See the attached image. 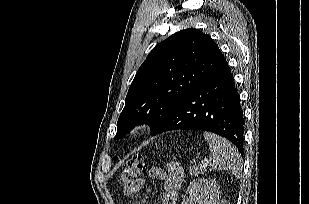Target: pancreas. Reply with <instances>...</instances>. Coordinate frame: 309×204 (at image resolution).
Here are the masks:
<instances>
[{
    "mask_svg": "<svg viewBox=\"0 0 309 204\" xmlns=\"http://www.w3.org/2000/svg\"><path fill=\"white\" fill-rule=\"evenodd\" d=\"M205 171H206L205 168H201V167H197V166H191L189 168V173H190V175H193V176H198L199 174H202Z\"/></svg>",
    "mask_w": 309,
    "mask_h": 204,
    "instance_id": "pancreas-1",
    "label": "pancreas"
}]
</instances>
